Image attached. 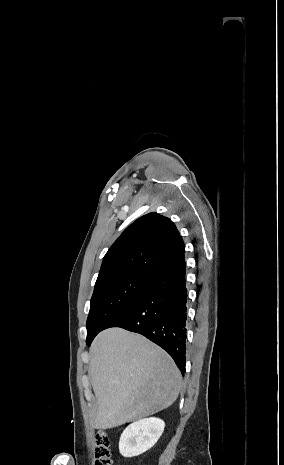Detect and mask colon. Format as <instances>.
Returning <instances> with one entry per match:
<instances>
[{
  "label": "colon",
  "mask_w": 284,
  "mask_h": 465,
  "mask_svg": "<svg viewBox=\"0 0 284 465\" xmlns=\"http://www.w3.org/2000/svg\"><path fill=\"white\" fill-rule=\"evenodd\" d=\"M96 448L94 465H114L109 451V436L107 434L96 433Z\"/></svg>",
  "instance_id": "5ec220e1"
}]
</instances>
